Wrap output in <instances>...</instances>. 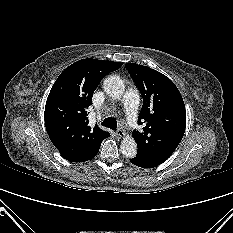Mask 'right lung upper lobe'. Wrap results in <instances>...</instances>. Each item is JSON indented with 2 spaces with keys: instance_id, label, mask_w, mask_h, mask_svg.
<instances>
[{
  "instance_id": "cb5924a9",
  "label": "right lung upper lobe",
  "mask_w": 233,
  "mask_h": 233,
  "mask_svg": "<svg viewBox=\"0 0 233 233\" xmlns=\"http://www.w3.org/2000/svg\"><path fill=\"white\" fill-rule=\"evenodd\" d=\"M123 63L82 59L68 66L55 81L45 105L46 131L60 154L71 162L92 159L110 136L88 126L87 109L101 80Z\"/></svg>"
}]
</instances>
